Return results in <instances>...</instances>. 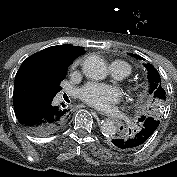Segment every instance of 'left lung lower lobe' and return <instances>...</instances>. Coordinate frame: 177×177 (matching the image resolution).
Instances as JSON below:
<instances>
[{
    "instance_id": "1",
    "label": "left lung lower lobe",
    "mask_w": 177,
    "mask_h": 177,
    "mask_svg": "<svg viewBox=\"0 0 177 177\" xmlns=\"http://www.w3.org/2000/svg\"><path fill=\"white\" fill-rule=\"evenodd\" d=\"M139 128L130 135L116 137L112 140L114 146L120 149H134L141 146L157 129L160 121L153 117H141Z\"/></svg>"
}]
</instances>
